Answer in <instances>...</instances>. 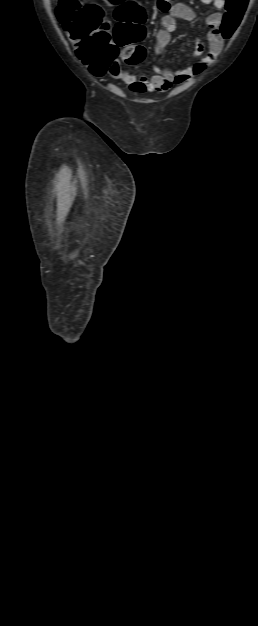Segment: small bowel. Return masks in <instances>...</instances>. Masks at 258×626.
<instances>
[{
	"instance_id": "obj_1",
	"label": "small bowel",
	"mask_w": 258,
	"mask_h": 626,
	"mask_svg": "<svg viewBox=\"0 0 258 626\" xmlns=\"http://www.w3.org/2000/svg\"><path fill=\"white\" fill-rule=\"evenodd\" d=\"M205 4H213L217 9L216 12L210 14L206 19L209 27L208 32V49L205 50L203 44L196 40L193 58L197 61L188 65L183 69L171 71L169 69L154 68L156 74L150 78L142 76L137 77L135 74L122 69L119 61H114L108 73L111 77L122 81L127 88L135 93L169 91L174 85H180L191 77L200 74L208 65L212 64L222 51L224 37L221 34L220 26L223 18V10L225 8V0H200ZM155 7L164 13L161 19V29L156 33L157 55L163 53L171 40V33L176 29V19H183L191 22L195 19V12L186 4L171 3V0H156Z\"/></svg>"
}]
</instances>
